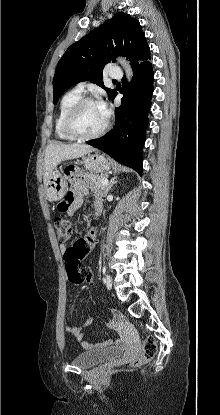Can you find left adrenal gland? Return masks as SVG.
<instances>
[{"mask_svg": "<svg viewBox=\"0 0 220 415\" xmlns=\"http://www.w3.org/2000/svg\"><path fill=\"white\" fill-rule=\"evenodd\" d=\"M115 183H117V177H116V176H115V177H113V178H111V180H110V182H109V184H108V186H107V189H106V191H105V195H107V193L111 190V188L113 187V185H114Z\"/></svg>", "mask_w": 220, "mask_h": 415, "instance_id": "left-adrenal-gland-1", "label": "left adrenal gland"}]
</instances>
